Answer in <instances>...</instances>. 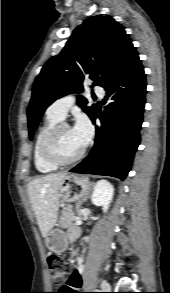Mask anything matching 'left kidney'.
Returning <instances> with one entry per match:
<instances>
[{
    "instance_id": "1",
    "label": "left kidney",
    "mask_w": 170,
    "mask_h": 293,
    "mask_svg": "<svg viewBox=\"0 0 170 293\" xmlns=\"http://www.w3.org/2000/svg\"><path fill=\"white\" fill-rule=\"evenodd\" d=\"M114 188L107 180H99L95 186L91 201L96 206H102L104 212H107L113 199Z\"/></svg>"
}]
</instances>
